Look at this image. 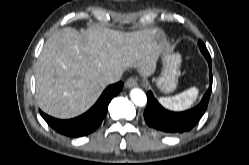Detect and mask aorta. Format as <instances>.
Masks as SVG:
<instances>
[{
	"label": "aorta",
	"mask_w": 249,
	"mask_h": 165,
	"mask_svg": "<svg viewBox=\"0 0 249 165\" xmlns=\"http://www.w3.org/2000/svg\"><path fill=\"white\" fill-rule=\"evenodd\" d=\"M130 97H131L132 102L136 106L143 107L147 103L146 94L144 93L143 90H141L139 88L132 89L131 92H130Z\"/></svg>",
	"instance_id": "aorta-1"
}]
</instances>
